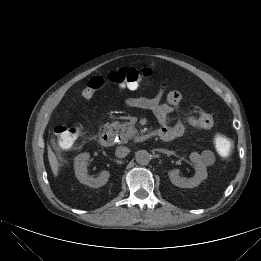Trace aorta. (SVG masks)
I'll list each match as a JSON object with an SVG mask.
<instances>
[{
  "label": "aorta",
  "instance_id": "762f6f07",
  "mask_svg": "<svg viewBox=\"0 0 261 261\" xmlns=\"http://www.w3.org/2000/svg\"><path fill=\"white\" fill-rule=\"evenodd\" d=\"M135 159H136V162L138 164H140V165H147L150 162V160H151V156H150L148 151H146V150H139L135 154Z\"/></svg>",
  "mask_w": 261,
  "mask_h": 261
}]
</instances>
